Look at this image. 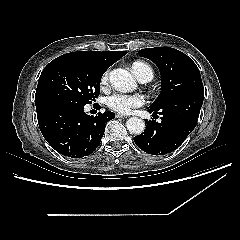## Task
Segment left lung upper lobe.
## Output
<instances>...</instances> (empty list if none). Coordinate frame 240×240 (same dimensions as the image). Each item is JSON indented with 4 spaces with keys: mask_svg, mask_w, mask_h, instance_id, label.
I'll return each instance as SVG.
<instances>
[{
    "mask_svg": "<svg viewBox=\"0 0 240 240\" xmlns=\"http://www.w3.org/2000/svg\"><path fill=\"white\" fill-rule=\"evenodd\" d=\"M138 54L153 61L161 72V93L150 108H161L179 96L203 91L198 67L179 50L156 47L139 50Z\"/></svg>",
    "mask_w": 240,
    "mask_h": 240,
    "instance_id": "obj_1",
    "label": "left lung upper lobe"
}]
</instances>
